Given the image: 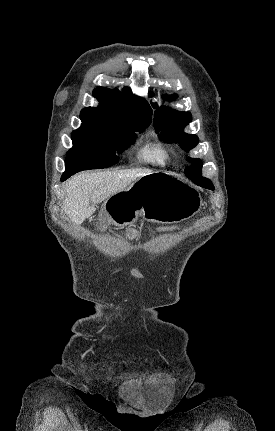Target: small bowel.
I'll use <instances>...</instances> for the list:
<instances>
[{
	"label": "small bowel",
	"mask_w": 275,
	"mask_h": 431,
	"mask_svg": "<svg viewBox=\"0 0 275 431\" xmlns=\"http://www.w3.org/2000/svg\"><path fill=\"white\" fill-rule=\"evenodd\" d=\"M164 230H166V228H165ZM128 236H129L130 238H135V237H137V232H136V231H134V230H132V231H130V232L128 233Z\"/></svg>",
	"instance_id": "c3829d8e"
}]
</instances>
